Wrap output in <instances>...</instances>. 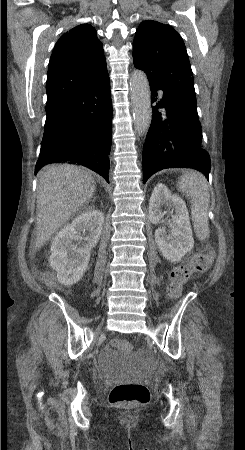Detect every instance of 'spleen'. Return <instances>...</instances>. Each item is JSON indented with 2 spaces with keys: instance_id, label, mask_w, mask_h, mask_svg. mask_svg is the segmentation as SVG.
Here are the masks:
<instances>
[{
  "instance_id": "3e777b00",
  "label": "spleen",
  "mask_w": 245,
  "mask_h": 450,
  "mask_svg": "<svg viewBox=\"0 0 245 450\" xmlns=\"http://www.w3.org/2000/svg\"><path fill=\"white\" fill-rule=\"evenodd\" d=\"M180 192L191 200V215L196 236L206 239L209 231L208 206L209 191L205 178L198 172L183 174L178 182Z\"/></svg>"
}]
</instances>
